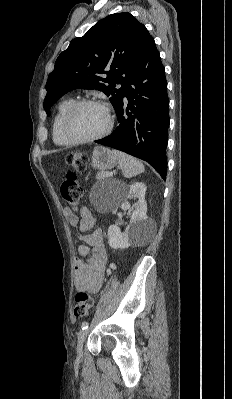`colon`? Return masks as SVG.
<instances>
[{
	"mask_svg": "<svg viewBox=\"0 0 232 399\" xmlns=\"http://www.w3.org/2000/svg\"><path fill=\"white\" fill-rule=\"evenodd\" d=\"M86 167V152L73 154L72 151L66 155V168H73V172H84ZM78 175H62V185H76ZM58 194H73L77 198H62V203H82V185L61 186ZM81 294H86V289H81ZM72 301H81L77 304L75 310H71V315L86 316L97 318V305L91 303V296H72Z\"/></svg>",
	"mask_w": 232,
	"mask_h": 399,
	"instance_id": "1",
	"label": "colon"
}]
</instances>
